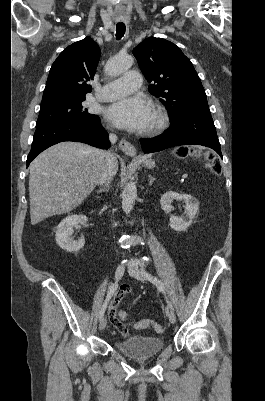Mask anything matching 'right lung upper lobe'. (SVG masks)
<instances>
[{"label": "right lung upper lobe", "mask_w": 265, "mask_h": 401, "mask_svg": "<svg viewBox=\"0 0 265 401\" xmlns=\"http://www.w3.org/2000/svg\"><path fill=\"white\" fill-rule=\"evenodd\" d=\"M99 58L100 48L90 37L64 49L50 69L41 104L85 97L91 92L86 82L93 79Z\"/></svg>", "instance_id": "obj_1"}]
</instances>
